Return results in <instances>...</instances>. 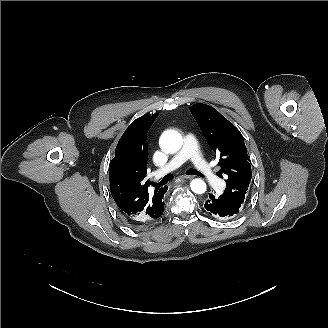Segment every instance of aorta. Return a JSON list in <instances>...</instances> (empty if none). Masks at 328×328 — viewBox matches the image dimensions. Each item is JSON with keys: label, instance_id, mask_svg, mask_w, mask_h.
Masks as SVG:
<instances>
[{"label": "aorta", "instance_id": "1", "mask_svg": "<svg viewBox=\"0 0 328 328\" xmlns=\"http://www.w3.org/2000/svg\"><path fill=\"white\" fill-rule=\"evenodd\" d=\"M160 143L166 152H176L182 147L183 139L177 131L169 130L161 135ZM190 187L196 194H203L206 191V183L201 179L192 180Z\"/></svg>", "mask_w": 328, "mask_h": 328}]
</instances>
